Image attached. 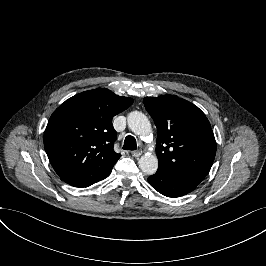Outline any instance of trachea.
I'll use <instances>...</instances> for the list:
<instances>
[{"instance_id":"3493384b","label":"trachea","mask_w":266,"mask_h":266,"mask_svg":"<svg viewBox=\"0 0 266 266\" xmlns=\"http://www.w3.org/2000/svg\"><path fill=\"white\" fill-rule=\"evenodd\" d=\"M124 150H136L137 143L133 136H127L122 147Z\"/></svg>"}]
</instances>
